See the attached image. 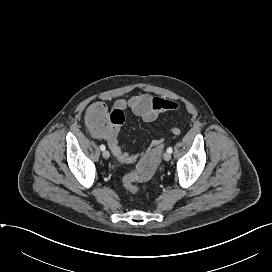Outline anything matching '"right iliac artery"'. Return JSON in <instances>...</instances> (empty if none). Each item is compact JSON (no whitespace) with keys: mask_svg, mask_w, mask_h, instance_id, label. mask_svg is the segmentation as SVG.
I'll return each instance as SVG.
<instances>
[{"mask_svg":"<svg viewBox=\"0 0 272 272\" xmlns=\"http://www.w3.org/2000/svg\"><path fill=\"white\" fill-rule=\"evenodd\" d=\"M100 149L102 150V151H104L105 149H106V147H105V145H100Z\"/></svg>","mask_w":272,"mask_h":272,"instance_id":"82829eb1","label":"right iliac artery"}]
</instances>
